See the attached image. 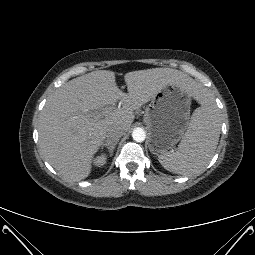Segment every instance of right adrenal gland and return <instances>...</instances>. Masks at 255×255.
Returning a JSON list of instances; mask_svg holds the SVG:
<instances>
[{
    "mask_svg": "<svg viewBox=\"0 0 255 255\" xmlns=\"http://www.w3.org/2000/svg\"><path fill=\"white\" fill-rule=\"evenodd\" d=\"M116 145H117V143H114V144L111 145V146H107V145L103 144V145L101 146V149L103 150L104 147L106 146V148L108 149V152H109V154H110V157H112V156H113V151H114ZM104 155L106 156L105 153H104Z\"/></svg>",
    "mask_w": 255,
    "mask_h": 255,
    "instance_id": "2a0ac1e0",
    "label": "right adrenal gland"
}]
</instances>
